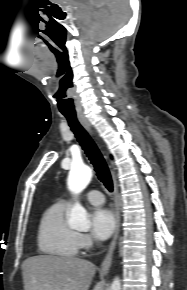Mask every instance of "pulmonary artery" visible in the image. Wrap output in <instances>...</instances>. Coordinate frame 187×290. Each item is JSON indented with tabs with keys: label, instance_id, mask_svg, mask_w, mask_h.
<instances>
[{
	"label": "pulmonary artery",
	"instance_id": "obj_1",
	"mask_svg": "<svg viewBox=\"0 0 187 290\" xmlns=\"http://www.w3.org/2000/svg\"><path fill=\"white\" fill-rule=\"evenodd\" d=\"M85 198L93 205H101L104 202V196L99 191H90Z\"/></svg>",
	"mask_w": 187,
	"mask_h": 290
}]
</instances>
